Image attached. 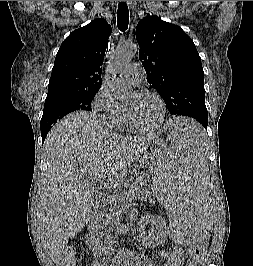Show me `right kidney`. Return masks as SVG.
<instances>
[{"label": "right kidney", "mask_w": 253, "mask_h": 266, "mask_svg": "<svg viewBox=\"0 0 253 266\" xmlns=\"http://www.w3.org/2000/svg\"><path fill=\"white\" fill-rule=\"evenodd\" d=\"M102 238L103 234L99 231H89L85 235L86 245L93 252L94 255H101L102 252L105 250Z\"/></svg>", "instance_id": "1"}]
</instances>
